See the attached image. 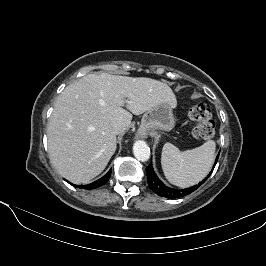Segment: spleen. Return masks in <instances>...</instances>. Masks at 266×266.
Here are the masks:
<instances>
[{
  "label": "spleen",
  "instance_id": "spleen-1",
  "mask_svg": "<svg viewBox=\"0 0 266 266\" xmlns=\"http://www.w3.org/2000/svg\"><path fill=\"white\" fill-rule=\"evenodd\" d=\"M215 150L216 144L212 140L182 152L172 143H166L161 156L165 177L173 185L182 188L197 184L209 173Z\"/></svg>",
  "mask_w": 266,
  "mask_h": 266
}]
</instances>
